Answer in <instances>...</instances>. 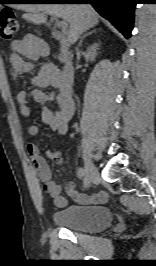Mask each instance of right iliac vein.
Wrapping results in <instances>:
<instances>
[{
	"mask_svg": "<svg viewBox=\"0 0 156 266\" xmlns=\"http://www.w3.org/2000/svg\"><path fill=\"white\" fill-rule=\"evenodd\" d=\"M83 159H84L86 183L90 184L96 177V171L92 163V160L86 151L83 152Z\"/></svg>",
	"mask_w": 156,
	"mask_h": 266,
	"instance_id": "63e3f726",
	"label": "right iliac vein"
}]
</instances>
